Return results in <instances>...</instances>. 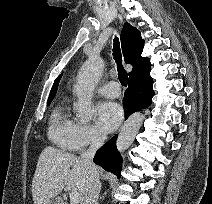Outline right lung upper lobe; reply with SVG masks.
<instances>
[{
	"label": "right lung upper lobe",
	"instance_id": "cb5924a9",
	"mask_svg": "<svg viewBox=\"0 0 212 204\" xmlns=\"http://www.w3.org/2000/svg\"><path fill=\"white\" fill-rule=\"evenodd\" d=\"M121 44L125 62L133 66L132 71L129 73V79L136 77L146 69H150V59L141 56L144 44V41L141 39V34L129 23L124 24L121 32ZM60 78L61 75L55 80L48 101H52L54 98Z\"/></svg>",
	"mask_w": 212,
	"mask_h": 204
}]
</instances>
